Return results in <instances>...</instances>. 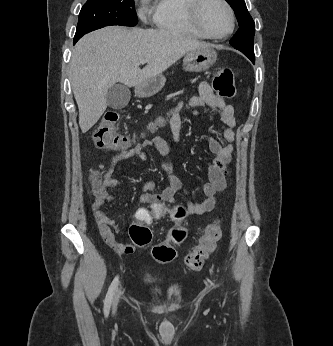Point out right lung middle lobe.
Here are the masks:
<instances>
[{"label":"right lung middle lobe","instance_id":"right-lung-middle-lobe-1","mask_svg":"<svg viewBox=\"0 0 333 346\" xmlns=\"http://www.w3.org/2000/svg\"><path fill=\"white\" fill-rule=\"evenodd\" d=\"M137 22L134 0H87L79 14L74 40L105 26H135Z\"/></svg>","mask_w":333,"mask_h":346}]
</instances>
